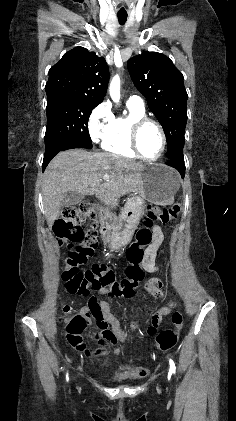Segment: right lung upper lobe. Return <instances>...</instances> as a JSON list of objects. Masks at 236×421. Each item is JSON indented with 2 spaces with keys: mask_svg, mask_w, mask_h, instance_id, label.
I'll use <instances>...</instances> for the list:
<instances>
[{
  "mask_svg": "<svg viewBox=\"0 0 236 421\" xmlns=\"http://www.w3.org/2000/svg\"><path fill=\"white\" fill-rule=\"evenodd\" d=\"M109 70L103 57L86 48L75 47L49 70L46 94H67L102 102L107 91Z\"/></svg>",
  "mask_w": 236,
  "mask_h": 421,
  "instance_id": "obj_1",
  "label": "right lung upper lobe"
}]
</instances>
